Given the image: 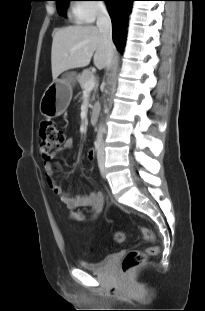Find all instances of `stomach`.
<instances>
[{"label":"stomach","mask_w":205,"mask_h":311,"mask_svg":"<svg viewBox=\"0 0 205 311\" xmlns=\"http://www.w3.org/2000/svg\"><path fill=\"white\" fill-rule=\"evenodd\" d=\"M75 82V73H69L65 78L52 82L41 98V114L48 118H54L64 113L71 101Z\"/></svg>","instance_id":"0dacf381"}]
</instances>
